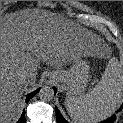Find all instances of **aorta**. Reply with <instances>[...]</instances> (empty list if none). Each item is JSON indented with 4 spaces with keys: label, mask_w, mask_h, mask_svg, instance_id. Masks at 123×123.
Wrapping results in <instances>:
<instances>
[{
    "label": "aorta",
    "mask_w": 123,
    "mask_h": 123,
    "mask_svg": "<svg viewBox=\"0 0 123 123\" xmlns=\"http://www.w3.org/2000/svg\"><path fill=\"white\" fill-rule=\"evenodd\" d=\"M39 97L42 101H51L54 97V91L50 86H44L39 91Z\"/></svg>",
    "instance_id": "762f6f07"
}]
</instances>
